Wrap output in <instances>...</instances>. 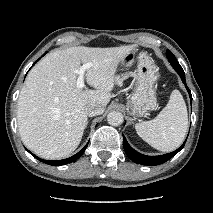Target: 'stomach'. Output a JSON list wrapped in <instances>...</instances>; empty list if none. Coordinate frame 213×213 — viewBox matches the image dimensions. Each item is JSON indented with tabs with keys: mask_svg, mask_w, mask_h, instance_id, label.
Listing matches in <instances>:
<instances>
[{
	"mask_svg": "<svg viewBox=\"0 0 213 213\" xmlns=\"http://www.w3.org/2000/svg\"><path fill=\"white\" fill-rule=\"evenodd\" d=\"M137 60V82L130 94V107L135 117H142L147 111L154 110L157 104L154 84L159 77V69L145 52L137 58L131 51L121 61V66L130 67Z\"/></svg>",
	"mask_w": 213,
	"mask_h": 213,
	"instance_id": "0dacf381",
	"label": "stomach"
}]
</instances>
